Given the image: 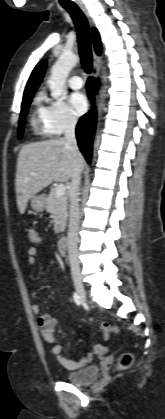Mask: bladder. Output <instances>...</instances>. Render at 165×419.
<instances>
[{"label":"bladder","instance_id":"1","mask_svg":"<svg viewBox=\"0 0 165 419\" xmlns=\"http://www.w3.org/2000/svg\"><path fill=\"white\" fill-rule=\"evenodd\" d=\"M100 369L98 366H87L79 370L65 373V379L72 384H86L99 377Z\"/></svg>","mask_w":165,"mask_h":419}]
</instances>
